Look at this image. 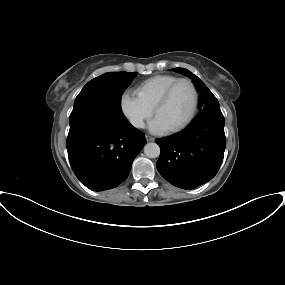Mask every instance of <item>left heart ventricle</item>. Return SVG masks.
Returning <instances> with one entry per match:
<instances>
[{
    "instance_id": "1",
    "label": "left heart ventricle",
    "mask_w": 285,
    "mask_h": 285,
    "mask_svg": "<svg viewBox=\"0 0 285 285\" xmlns=\"http://www.w3.org/2000/svg\"><path fill=\"white\" fill-rule=\"evenodd\" d=\"M194 101L192 88L187 83L179 84L170 100L160 109L156 116L172 129L182 123L191 112Z\"/></svg>"
}]
</instances>
